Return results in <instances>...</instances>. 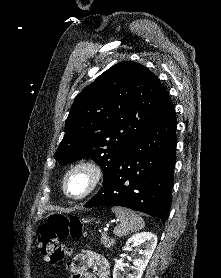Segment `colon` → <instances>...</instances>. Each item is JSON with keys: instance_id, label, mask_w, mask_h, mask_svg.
I'll use <instances>...</instances> for the list:
<instances>
[{"instance_id": "colon-1", "label": "colon", "mask_w": 221, "mask_h": 278, "mask_svg": "<svg viewBox=\"0 0 221 278\" xmlns=\"http://www.w3.org/2000/svg\"><path fill=\"white\" fill-rule=\"evenodd\" d=\"M83 234V224L77 216L51 215L40 225L37 239V246L45 263L56 267L68 254L62 240L68 237L79 238Z\"/></svg>"}]
</instances>
